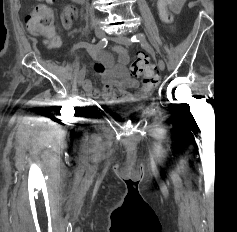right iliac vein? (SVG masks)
Segmentation results:
<instances>
[{"instance_id": "1", "label": "right iliac vein", "mask_w": 237, "mask_h": 232, "mask_svg": "<svg viewBox=\"0 0 237 232\" xmlns=\"http://www.w3.org/2000/svg\"><path fill=\"white\" fill-rule=\"evenodd\" d=\"M104 35H105V33L101 28L95 29V36L97 38L101 39L104 37ZM84 78H85V69H81L78 73V76H77V81H78L79 86L83 85Z\"/></svg>"}]
</instances>
